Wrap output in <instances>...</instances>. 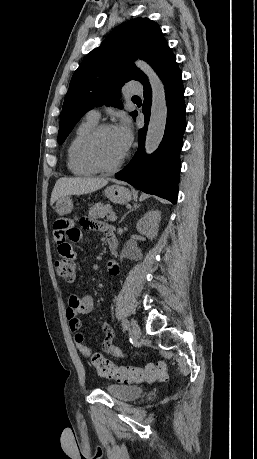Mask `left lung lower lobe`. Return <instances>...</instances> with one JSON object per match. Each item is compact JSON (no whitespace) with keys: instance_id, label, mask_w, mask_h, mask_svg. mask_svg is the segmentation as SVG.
Returning <instances> with one entry per match:
<instances>
[{"instance_id":"0a47b994","label":"left lung lower lobe","mask_w":257,"mask_h":459,"mask_svg":"<svg viewBox=\"0 0 257 459\" xmlns=\"http://www.w3.org/2000/svg\"><path fill=\"white\" fill-rule=\"evenodd\" d=\"M164 84L167 103V122L165 134L158 149L151 155L144 152V142L150 118L152 92L148 81L144 86L145 126L139 130V146L136 155L120 172L115 174L123 180L148 194H154L177 202L180 171L179 153L182 136L186 128L184 88L181 71L176 57L171 52L156 70ZM137 115V112L134 116Z\"/></svg>"}]
</instances>
